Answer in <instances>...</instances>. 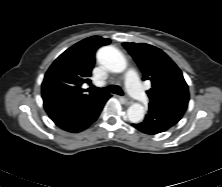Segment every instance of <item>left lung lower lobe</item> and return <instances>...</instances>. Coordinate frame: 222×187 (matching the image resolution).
<instances>
[{
  "mask_svg": "<svg viewBox=\"0 0 222 187\" xmlns=\"http://www.w3.org/2000/svg\"><path fill=\"white\" fill-rule=\"evenodd\" d=\"M187 106L188 103L180 101L149 103L144 121L132 126L151 135L165 132L182 118Z\"/></svg>",
  "mask_w": 222,
  "mask_h": 187,
  "instance_id": "left-lung-lower-lobe-1",
  "label": "left lung lower lobe"
}]
</instances>
